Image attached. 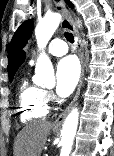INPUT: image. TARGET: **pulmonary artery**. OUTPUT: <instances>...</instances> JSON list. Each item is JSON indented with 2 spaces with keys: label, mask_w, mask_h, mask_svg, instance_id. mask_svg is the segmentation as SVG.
<instances>
[{
  "label": "pulmonary artery",
  "mask_w": 114,
  "mask_h": 156,
  "mask_svg": "<svg viewBox=\"0 0 114 156\" xmlns=\"http://www.w3.org/2000/svg\"><path fill=\"white\" fill-rule=\"evenodd\" d=\"M67 52H68V46L60 38L53 39L47 48V53L52 56H56V57L63 56ZM34 61H35V59H31L30 63L32 64V63H34Z\"/></svg>",
  "instance_id": "obj_1"
}]
</instances>
